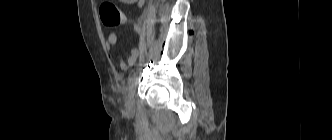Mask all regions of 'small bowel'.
<instances>
[{"instance_id":"1","label":"small bowel","mask_w":332,"mask_h":140,"mask_svg":"<svg viewBox=\"0 0 332 140\" xmlns=\"http://www.w3.org/2000/svg\"><path fill=\"white\" fill-rule=\"evenodd\" d=\"M146 0H119V2L127 5L135 4L138 8H141L145 4ZM117 44V35L114 32L109 33L106 41V47L108 50L113 49ZM139 55L138 49L134 48L127 59L124 61L120 55H117L119 68L122 71L127 70L130 66L134 65Z\"/></svg>"}]
</instances>
